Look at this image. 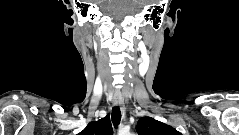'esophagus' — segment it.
<instances>
[{"label":"esophagus","instance_id":"esophagus-1","mask_svg":"<svg viewBox=\"0 0 239 135\" xmlns=\"http://www.w3.org/2000/svg\"><path fill=\"white\" fill-rule=\"evenodd\" d=\"M114 104L118 105L120 107L122 116H123V118H125L126 117V108H125V105H124L123 98L120 95H118V94L115 95Z\"/></svg>","mask_w":239,"mask_h":135}]
</instances>
